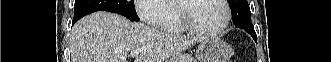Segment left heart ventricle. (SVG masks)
Returning <instances> with one entry per match:
<instances>
[{"label": "left heart ventricle", "instance_id": "1", "mask_svg": "<svg viewBox=\"0 0 331 62\" xmlns=\"http://www.w3.org/2000/svg\"><path fill=\"white\" fill-rule=\"evenodd\" d=\"M186 12L193 23L204 30L219 28L224 18V8L218 0H191Z\"/></svg>", "mask_w": 331, "mask_h": 62}]
</instances>
